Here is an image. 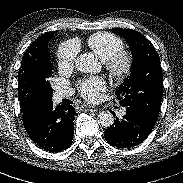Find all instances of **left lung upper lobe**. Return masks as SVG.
<instances>
[{
  "label": "left lung upper lobe",
  "instance_id": "1",
  "mask_svg": "<svg viewBox=\"0 0 183 183\" xmlns=\"http://www.w3.org/2000/svg\"><path fill=\"white\" fill-rule=\"evenodd\" d=\"M130 46L133 63L131 74L116 91L120 104L136 107L158 118L163 94V75L158 53L141 33L132 29L114 28Z\"/></svg>",
  "mask_w": 183,
  "mask_h": 183
}]
</instances>
